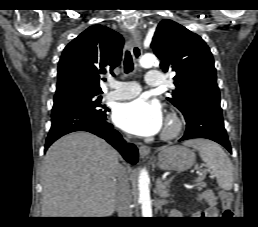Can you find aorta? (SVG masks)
Segmentation results:
<instances>
[{"label": "aorta", "instance_id": "1", "mask_svg": "<svg viewBox=\"0 0 258 227\" xmlns=\"http://www.w3.org/2000/svg\"><path fill=\"white\" fill-rule=\"evenodd\" d=\"M157 63V58L153 54H145L140 59V65L149 68ZM149 175L146 169H142L138 179L139 202L141 204L142 217H152V202L149 188Z\"/></svg>", "mask_w": 258, "mask_h": 227}]
</instances>
